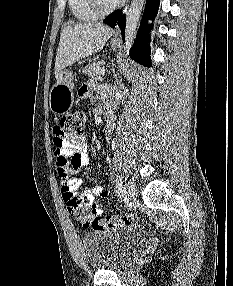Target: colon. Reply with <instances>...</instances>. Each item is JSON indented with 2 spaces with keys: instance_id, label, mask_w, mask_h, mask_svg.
I'll return each instance as SVG.
<instances>
[{
  "instance_id": "5ec220e1",
  "label": "colon",
  "mask_w": 233,
  "mask_h": 286,
  "mask_svg": "<svg viewBox=\"0 0 233 286\" xmlns=\"http://www.w3.org/2000/svg\"><path fill=\"white\" fill-rule=\"evenodd\" d=\"M85 115L81 111H75L64 115L56 130L64 135L71 134L81 136L84 130ZM66 205L78 221L86 227H91L96 232L119 229L135 223L134 215L107 216L102 217L97 213L96 208L84 205L79 197L69 193L66 196Z\"/></svg>"
}]
</instances>
